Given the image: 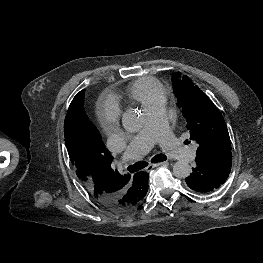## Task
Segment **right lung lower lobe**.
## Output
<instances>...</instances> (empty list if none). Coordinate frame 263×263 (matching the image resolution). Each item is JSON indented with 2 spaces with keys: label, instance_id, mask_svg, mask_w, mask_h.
<instances>
[{
  "label": "right lung lower lobe",
  "instance_id": "1",
  "mask_svg": "<svg viewBox=\"0 0 263 263\" xmlns=\"http://www.w3.org/2000/svg\"><path fill=\"white\" fill-rule=\"evenodd\" d=\"M136 181L139 185L146 186L148 191V178L149 174L146 172L136 173ZM147 193V192H146ZM99 203L105 208L109 209L113 212H122V208H124L128 204V199L126 195H119L113 198H104L99 201Z\"/></svg>",
  "mask_w": 263,
  "mask_h": 263
}]
</instances>
